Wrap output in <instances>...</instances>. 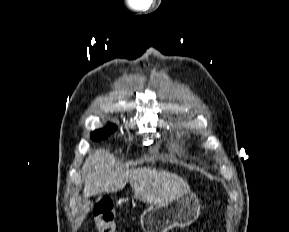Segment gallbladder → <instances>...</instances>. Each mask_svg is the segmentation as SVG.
<instances>
[{
	"label": "gallbladder",
	"mask_w": 289,
	"mask_h": 232,
	"mask_svg": "<svg viewBox=\"0 0 289 232\" xmlns=\"http://www.w3.org/2000/svg\"><path fill=\"white\" fill-rule=\"evenodd\" d=\"M85 204H86L87 207H91L92 206V203L90 201H87V200H85Z\"/></svg>",
	"instance_id": "obj_1"
}]
</instances>
